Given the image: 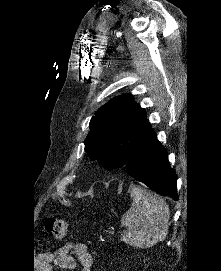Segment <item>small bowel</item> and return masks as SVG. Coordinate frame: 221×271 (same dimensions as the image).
<instances>
[{"instance_id":"c3829d8e","label":"small bowel","mask_w":221,"mask_h":271,"mask_svg":"<svg viewBox=\"0 0 221 271\" xmlns=\"http://www.w3.org/2000/svg\"><path fill=\"white\" fill-rule=\"evenodd\" d=\"M76 261L81 271H92L93 257L83 242L67 243L53 252H45L39 256L41 271H51L52 263L62 269L74 270Z\"/></svg>"}]
</instances>
